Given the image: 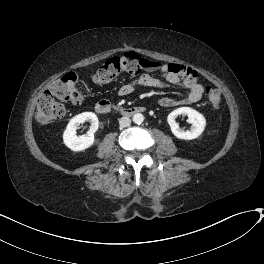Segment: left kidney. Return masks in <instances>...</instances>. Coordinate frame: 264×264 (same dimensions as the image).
I'll list each match as a JSON object with an SVG mask.
<instances>
[{
    "label": "left kidney",
    "mask_w": 264,
    "mask_h": 264,
    "mask_svg": "<svg viewBox=\"0 0 264 264\" xmlns=\"http://www.w3.org/2000/svg\"><path fill=\"white\" fill-rule=\"evenodd\" d=\"M178 115H185L188 117V122L192 124L191 130L184 131L179 128L175 121ZM167 122L170 125L172 133L179 139L192 140L199 137L205 129V117L198 111L190 107H180L172 111L168 117Z\"/></svg>",
    "instance_id": "1"
}]
</instances>
